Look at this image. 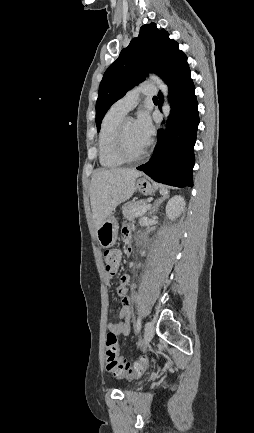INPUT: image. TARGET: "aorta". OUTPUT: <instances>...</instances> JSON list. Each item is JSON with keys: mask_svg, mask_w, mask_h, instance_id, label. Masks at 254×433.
Here are the masks:
<instances>
[{"mask_svg": "<svg viewBox=\"0 0 254 433\" xmlns=\"http://www.w3.org/2000/svg\"><path fill=\"white\" fill-rule=\"evenodd\" d=\"M149 79L157 85V87L161 90L163 94L164 102L162 105V112H163L164 119L166 121L171 111L170 103L168 101V86L160 77H158L155 74H150ZM165 128H166V123L163 125V129Z\"/></svg>", "mask_w": 254, "mask_h": 433, "instance_id": "1", "label": "aorta"}]
</instances>
